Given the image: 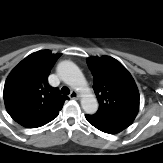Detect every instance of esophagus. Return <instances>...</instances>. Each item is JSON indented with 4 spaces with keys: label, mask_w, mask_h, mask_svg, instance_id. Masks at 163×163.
<instances>
[{
    "label": "esophagus",
    "mask_w": 163,
    "mask_h": 163,
    "mask_svg": "<svg viewBox=\"0 0 163 163\" xmlns=\"http://www.w3.org/2000/svg\"><path fill=\"white\" fill-rule=\"evenodd\" d=\"M69 97H70L71 99L78 100V99L80 98V95H79L78 92H76V91H71Z\"/></svg>",
    "instance_id": "1"
}]
</instances>
